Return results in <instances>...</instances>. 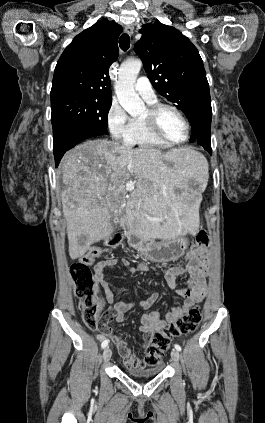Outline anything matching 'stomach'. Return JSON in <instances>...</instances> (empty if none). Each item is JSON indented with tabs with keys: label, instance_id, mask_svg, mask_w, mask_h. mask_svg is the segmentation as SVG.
I'll list each match as a JSON object with an SVG mask.
<instances>
[{
	"label": "stomach",
	"instance_id": "obj_1",
	"mask_svg": "<svg viewBox=\"0 0 265 423\" xmlns=\"http://www.w3.org/2000/svg\"><path fill=\"white\" fill-rule=\"evenodd\" d=\"M144 256L154 262H168L181 257L188 245V239L184 236L155 242L143 240L141 242Z\"/></svg>",
	"mask_w": 265,
	"mask_h": 423
}]
</instances>
